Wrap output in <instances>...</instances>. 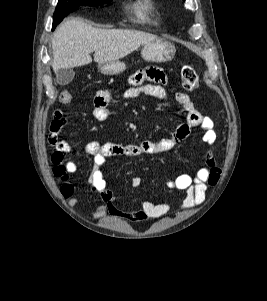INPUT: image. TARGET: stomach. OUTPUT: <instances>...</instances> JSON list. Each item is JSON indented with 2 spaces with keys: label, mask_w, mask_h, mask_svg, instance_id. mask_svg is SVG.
Here are the masks:
<instances>
[{
  "label": "stomach",
  "mask_w": 267,
  "mask_h": 301,
  "mask_svg": "<svg viewBox=\"0 0 267 301\" xmlns=\"http://www.w3.org/2000/svg\"><path fill=\"white\" fill-rule=\"evenodd\" d=\"M175 46L168 40L158 38L155 41L144 44L141 49V56L148 62H168L175 56ZM99 71L104 75H118L126 69L125 63L113 61L98 65Z\"/></svg>",
  "instance_id": "obj_1"
}]
</instances>
